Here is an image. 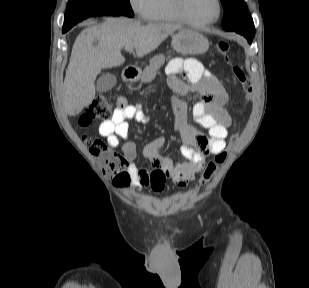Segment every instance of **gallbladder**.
I'll list each match as a JSON object with an SVG mask.
<instances>
[{"label": "gallbladder", "mask_w": 309, "mask_h": 288, "mask_svg": "<svg viewBox=\"0 0 309 288\" xmlns=\"http://www.w3.org/2000/svg\"><path fill=\"white\" fill-rule=\"evenodd\" d=\"M116 77L113 74H103L96 83V89L98 92L110 91L116 85Z\"/></svg>", "instance_id": "obj_1"}]
</instances>
